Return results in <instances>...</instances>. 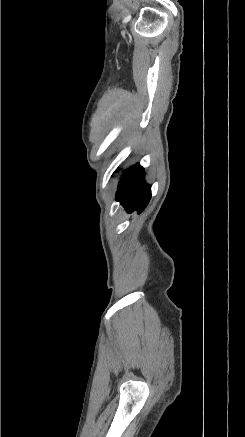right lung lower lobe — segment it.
Listing matches in <instances>:
<instances>
[{"label": "right lung lower lobe", "mask_w": 245, "mask_h": 437, "mask_svg": "<svg viewBox=\"0 0 245 437\" xmlns=\"http://www.w3.org/2000/svg\"><path fill=\"white\" fill-rule=\"evenodd\" d=\"M151 198L150 186L144 181V169L139 164L126 171L119 182L116 201L122 204L128 213L140 214Z\"/></svg>", "instance_id": "obj_1"}]
</instances>
